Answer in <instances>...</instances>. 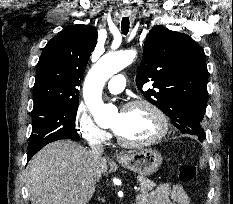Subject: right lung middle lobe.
I'll return each instance as SVG.
<instances>
[{"instance_id": "right-lung-middle-lobe-1", "label": "right lung middle lobe", "mask_w": 233, "mask_h": 204, "mask_svg": "<svg viewBox=\"0 0 233 204\" xmlns=\"http://www.w3.org/2000/svg\"><path fill=\"white\" fill-rule=\"evenodd\" d=\"M78 102L44 105L32 111V134L28 150H39L60 139L79 140L75 130Z\"/></svg>"}]
</instances>
